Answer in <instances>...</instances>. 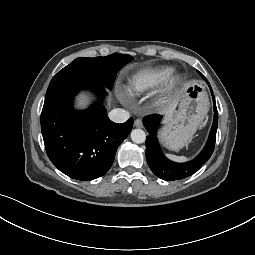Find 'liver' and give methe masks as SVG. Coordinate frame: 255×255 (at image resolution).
<instances>
[{"label":"liver","instance_id":"liver-1","mask_svg":"<svg viewBox=\"0 0 255 255\" xmlns=\"http://www.w3.org/2000/svg\"><path fill=\"white\" fill-rule=\"evenodd\" d=\"M86 103V99H84V97H81V99H80V104L81 105H84ZM175 105H176V103L174 104V105H172L169 109H167L166 111H165V113L167 114V115H170L172 112H173V110H174V108H175Z\"/></svg>","mask_w":255,"mask_h":255}]
</instances>
